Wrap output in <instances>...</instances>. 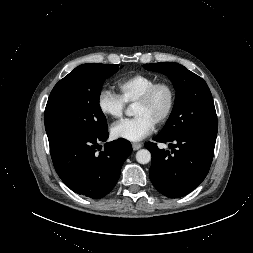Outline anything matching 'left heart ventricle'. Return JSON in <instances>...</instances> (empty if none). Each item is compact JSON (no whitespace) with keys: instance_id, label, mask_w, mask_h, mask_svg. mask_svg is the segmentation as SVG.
Instances as JSON below:
<instances>
[{"instance_id":"left-heart-ventricle-1","label":"left heart ventricle","mask_w":253,"mask_h":253,"mask_svg":"<svg viewBox=\"0 0 253 253\" xmlns=\"http://www.w3.org/2000/svg\"><path fill=\"white\" fill-rule=\"evenodd\" d=\"M169 104V92L166 88L159 89L153 99L146 105L135 104L134 116H145L153 123L165 113Z\"/></svg>"}]
</instances>
